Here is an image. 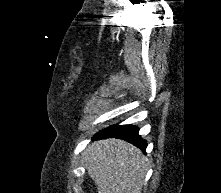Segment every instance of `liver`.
<instances>
[{"instance_id": "liver-1", "label": "liver", "mask_w": 221, "mask_h": 193, "mask_svg": "<svg viewBox=\"0 0 221 193\" xmlns=\"http://www.w3.org/2000/svg\"><path fill=\"white\" fill-rule=\"evenodd\" d=\"M85 162L98 193H141L148 165L136 146L114 138L98 140L88 146Z\"/></svg>"}]
</instances>
